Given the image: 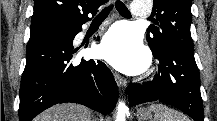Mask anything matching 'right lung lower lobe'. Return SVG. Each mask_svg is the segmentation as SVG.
<instances>
[{
  "mask_svg": "<svg viewBox=\"0 0 217 121\" xmlns=\"http://www.w3.org/2000/svg\"><path fill=\"white\" fill-rule=\"evenodd\" d=\"M85 22L72 31L29 39L20 87V121H30L52 105L65 102L104 114L114 109L118 90L112 72L100 60L76 58L79 48H74L73 40Z\"/></svg>",
  "mask_w": 217,
  "mask_h": 121,
  "instance_id": "right-lung-lower-lobe-1",
  "label": "right lung lower lobe"
}]
</instances>
